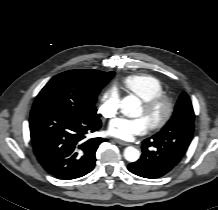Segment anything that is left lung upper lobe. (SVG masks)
Instances as JSON below:
<instances>
[{
    "instance_id": "left-lung-upper-lobe-1",
    "label": "left lung upper lobe",
    "mask_w": 218,
    "mask_h": 210,
    "mask_svg": "<svg viewBox=\"0 0 218 210\" xmlns=\"http://www.w3.org/2000/svg\"><path fill=\"white\" fill-rule=\"evenodd\" d=\"M195 114L191 101L183 93L175 106L174 113L162 130L152 138L166 142V146H179L187 150L194 132Z\"/></svg>"
}]
</instances>
